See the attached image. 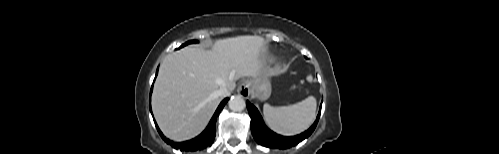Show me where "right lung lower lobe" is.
Returning <instances> with one entry per match:
<instances>
[{
    "mask_svg": "<svg viewBox=\"0 0 499 154\" xmlns=\"http://www.w3.org/2000/svg\"><path fill=\"white\" fill-rule=\"evenodd\" d=\"M157 73H158V69H157L156 75H157ZM151 92H152V88H151ZM228 100H229V98H225L220 103V105L218 106L216 112L214 113L210 123L208 124L207 128L199 136H197L196 138H194L192 140H189L186 142L175 143V142H172L171 140H168L162 134L157 123L154 121L156 128H157L160 136L162 137V139L165 142H167L169 145H171L173 148L180 149L181 151H196L199 149H204L208 146H211L213 143V140L215 138V125H216L217 116L219 115L220 111L223 109V107L225 106V104L227 103ZM150 110H151V106H150ZM151 113H152V111H151Z\"/></svg>",
    "mask_w": 499,
    "mask_h": 154,
    "instance_id": "1",
    "label": "right lung lower lobe"
}]
</instances>
